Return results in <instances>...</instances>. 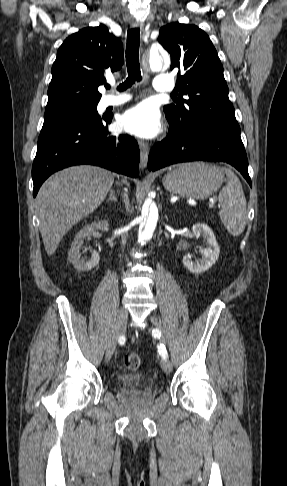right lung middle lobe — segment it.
Returning a JSON list of instances; mask_svg holds the SVG:
<instances>
[{"label":"right lung middle lobe","mask_w":287,"mask_h":486,"mask_svg":"<svg viewBox=\"0 0 287 486\" xmlns=\"http://www.w3.org/2000/svg\"><path fill=\"white\" fill-rule=\"evenodd\" d=\"M99 101H83L46 108L42 129H51L66 124H76L100 117Z\"/></svg>","instance_id":"dd1d6c3e"}]
</instances>
